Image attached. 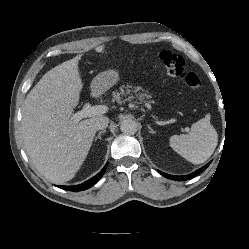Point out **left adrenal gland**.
Instances as JSON below:
<instances>
[{
    "label": "left adrenal gland",
    "instance_id": "left-adrenal-gland-1",
    "mask_svg": "<svg viewBox=\"0 0 249 249\" xmlns=\"http://www.w3.org/2000/svg\"><path fill=\"white\" fill-rule=\"evenodd\" d=\"M147 126H148L149 132H150L151 134H155V133H156V131H154V130L150 127L149 124H148Z\"/></svg>",
    "mask_w": 249,
    "mask_h": 249
}]
</instances>
